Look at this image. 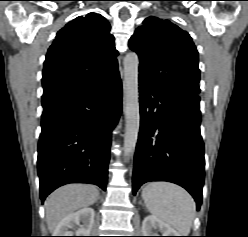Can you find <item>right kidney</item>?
Segmentation results:
<instances>
[{
    "instance_id": "1",
    "label": "right kidney",
    "mask_w": 248,
    "mask_h": 237,
    "mask_svg": "<svg viewBox=\"0 0 248 237\" xmlns=\"http://www.w3.org/2000/svg\"><path fill=\"white\" fill-rule=\"evenodd\" d=\"M93 208H82L67 215L56 227L55 236H90L94 224ZM79 226L77 230H73Z\"/></svg>"
}]
</instances>
